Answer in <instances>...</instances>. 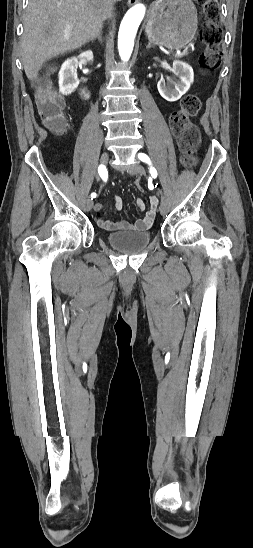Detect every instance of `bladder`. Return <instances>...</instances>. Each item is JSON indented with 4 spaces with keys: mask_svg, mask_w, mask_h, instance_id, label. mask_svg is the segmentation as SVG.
<instances>
[{
    "mask_svg": "<svg viewBox=\"0 0 253 548\" xmlns=\"http://www.w3.org/2000/svg\"><path fill=\"white\" fill-rule=\"evenodd\" d=\"M107 242L114 249L133 254L144 250L151 241L149 231H116L107 235Z\"/></svg>",
    "mask_w": 253,
    "mask_h": 548,
    "instance_id": "1",
    "label": "bladder"
}]
</instances>
